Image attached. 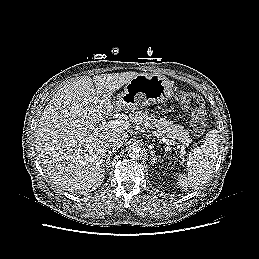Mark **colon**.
Here are the masks:
<instances>
[{
	"mask_svg": "<svg viewBox=\"0 0 259 259\" xmlns=\"http://www.w3.org/2000/svg\"><path fill=\"white\" fill-rule=\"evenodd\" d=\"M176 100L182 104L190 114V128L195 135H201L207 126V114L203 99L193 92L179 91Z\"/></svg>",
	"mask_w": 259,
	"mask_h": 259,
	"instance_id": "colon-1",
	"label": "colon"
}]
</instances>
